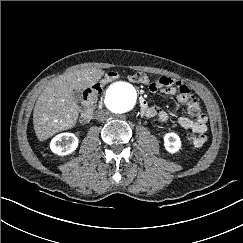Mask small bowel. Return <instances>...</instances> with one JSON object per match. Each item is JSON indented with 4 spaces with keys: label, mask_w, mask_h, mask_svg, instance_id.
I'll return each mask as SVG.
<instances>
[{
    "label": "small bowel",
    "mask_w": 243,
    "mask_h": 243,
    "mask_svg": "<svg viewBox=\"0 0 243 243\" xmlns=\"http://www.w3.org/2000/svg\"><path fill=\"white\" fill-rule=\"evenodd\" d=\"M149 90L151 92L176 94L178 102L187 106L188 113L192 117L180 116L177 118L178 124L198 135L199 141L194 145L195 147H201L205 144L206 136L204 134L207 131L208 119L202 113L198 101L184 83L169 77H161L149 85ZM142 112L147 117H156L160 122L168 120V114L159 107L150 106L147 111Z\"/></svg>",
    "instance_id": "c3829d8e"
}]
</instances>
